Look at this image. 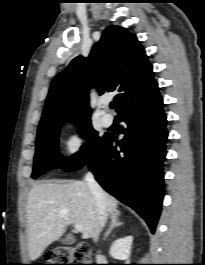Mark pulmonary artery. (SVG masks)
<instances>
[{
  "mask_svg": "<svg viewBox=\"0 0 205 265\" xmlns=\"http://www.w3.org/2000/svg\"><path fill=\"white\" fill-rule=\"evenodd\" d=\"M113 122V117L109 113H103L102 123L104 126H110Z\"/></svg>",
  "mask_w": 205,
  "mask_h": 265,
  "instance_id": "obj_1",
  "label": "pulmonary artery"
}]
</instances>
